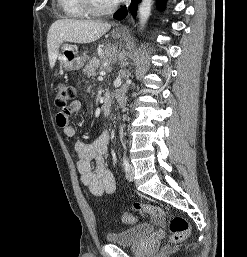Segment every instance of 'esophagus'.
<instances>
[{"label":"esophagus","instance_id":"esophagus-1","mask_svg":"<svg viewBox=\"0 0 247 257\" xmlns=\"http://www.w3.org/2000/svg\"><path fill=\"white\" fill-rule=\"evenodd\" d=\"M114 30L116 32H125L127 30V27L125 24H120Z\"/></svg>","mask_w":247,"mask_h":257}]
</instances>
